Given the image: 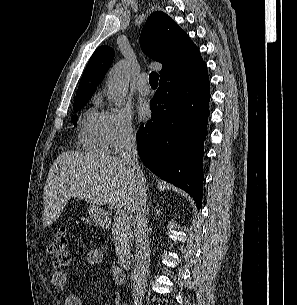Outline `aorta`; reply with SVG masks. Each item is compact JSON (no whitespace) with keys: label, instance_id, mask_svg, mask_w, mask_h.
<instances>
[{"label":"aorta","instance_id":"obj_1","mask_svg":"<svg viewBox=\"0 0 297 305\" xmlns=\"http://www.w3.org/2000/svg\"><path fill=\"white\" fill-rule=\"evenodd\" d=\"M129 86V65L120 61L110 70L107 80L109 99L115 106L120 107L127 94Z\"/></svg>","mask_w":297,"mask_h":305}]
</instances>
